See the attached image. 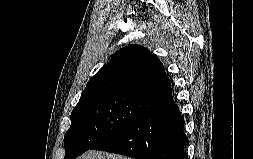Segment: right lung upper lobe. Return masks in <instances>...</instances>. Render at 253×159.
I'll list each match as a JSON object with an SVG mask.
<instances>
[{
  "instance_id": "1",
  "label": "right lung upper lobe",
  "mask_w": 253,
  "mask_h": 159,
  "mask_svg": "<svg viewBox=\"0 0 253 159\" xmlns=\"http://www.w3.org/2000/svg\"><path fill=\"white\" fill-rule=\"evenodd\" d=\"M111 95L138 97L159 105L172 97V90L160 60L140 45H129L90 79L80 100Z\"/></svg>"
}]
</instances>
